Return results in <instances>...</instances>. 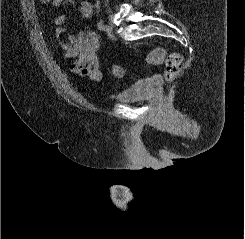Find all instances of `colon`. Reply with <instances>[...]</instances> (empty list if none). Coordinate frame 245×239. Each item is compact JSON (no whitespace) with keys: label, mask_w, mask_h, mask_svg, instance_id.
<instances>
[{"label":"colon","mask_w":245,"mask_h":239,"mask_svg":"<svg viewBox=\"0 0 245 239\" xmlns=\"http://www.w3.org/2000/svg\"><path fill=\"white\" fill-rule=\"evenodd\" d=\"M43 3H50L51 0H40ZM149 61L152 64H165V77L168 81L173 80L183 68V59L177 53H168L165 48L154 49L149 55ZM113 73L116 76L123 75V69L120 65H114Z\"/></svg>","instance_id":"colon-1"}]
</instances>
